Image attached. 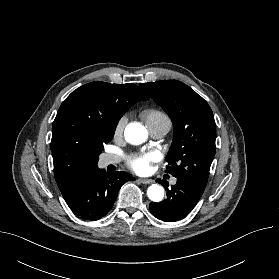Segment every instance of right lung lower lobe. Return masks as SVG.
I'll return each instance as SVG.
<instances>
[{
  "instance_id": "right-lung-lower-lobe-1",
  "label": "right lung lower lobe",
  "mask_w": 279,
  "mask_h": 279,
  "mask_svg": "<svg viewBox=\"0 0 279 279\" xmlns=\"http://www.w3.org/2000/svg\"><path fill=\"white\" fill-rule=\"evenodd\" d=\"M133 180L126 172L110 175L96 165L83 174L78 186L65 201L79 218L98 220L111 210L121 186Z\"/></svg>"
}]
</instances>
